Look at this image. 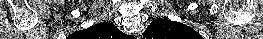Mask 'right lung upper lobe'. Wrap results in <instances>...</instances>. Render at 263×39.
Returning <instances> with one entry per match:
<instances>
[{
    "label": "right lung upper lobe",
    "mask_w": 263,
    "mask_h": 39,
    "mask_svg": "<svg viewBox=\"0 0 263 39\" xmlns=\"http://www.w3.org/2000/svg\"><path fill=\"white\" fill-rule=\"evenodd\" d=\"M86 39H123L127 37L111 23H101L79 31Z\"/></svg>",
    "instance_id": "1"
}]
</instances>
